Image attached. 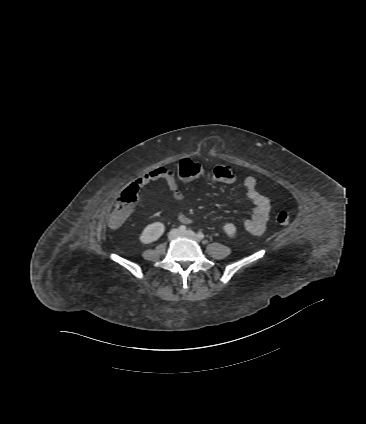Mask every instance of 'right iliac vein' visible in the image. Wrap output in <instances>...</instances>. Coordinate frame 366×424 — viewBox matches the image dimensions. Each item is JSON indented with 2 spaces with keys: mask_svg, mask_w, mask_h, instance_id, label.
Masks as SVG:
<instances>
[{
  "mask_svg": "<svg viewBox=\"0 0 366 424\" xmlns=\"http://www.w3.org/2000/svg\"><path fill=\"white\" fill-rule=\"evenodd\" d=\"M180 232L177 229H173L169 232L168 234V238L169 240H174L179 236Z\"/></svg>",
  "mask_w": 366,
  "mask_h": 424,
  "instance_id": "obj_1",
  "label": "right iliac vein"
}]
</instances>
